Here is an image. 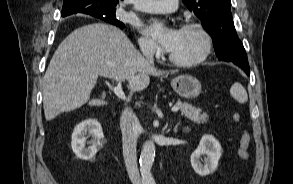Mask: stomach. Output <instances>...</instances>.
Here are the masks:
<instances>
[{
  "instance_id": "obj_1",
  "label": "stomach",
  "mask_w": 293,
  "mask_h": 184,
  "mask_svg": "<svg viewBox=\"0 0 293 184\" xmlns=\"http://www.w3.org/2000/svg\"><path fill=\"white\" fill-rule=\"evenodd\" d=\"M174 91L183 98L193 99L201 93V83L191 75H180L171 81Z\"/></svg>"
}]
</instances>
